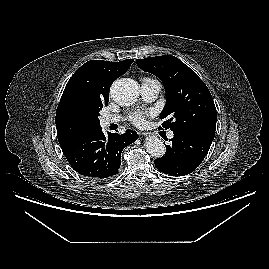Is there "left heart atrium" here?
<instances>
[{
	"label": "left heart atrium",
	"instance_id": "39dd6f15",
	"mask_svg": "<svg viewBox=\"0 0 269 269\" xmlns=\"http://www.w3.org/2000/svg\"><path fill=\"white\" fill-rule=\"evenodd\" d=\"M146 115H148L147 112H135L129 116V120L132 124L136 126H141L145 123Z\"/></svg>",
	"mask_w": 269,
	"mask_h": 269
}]
</instances>
